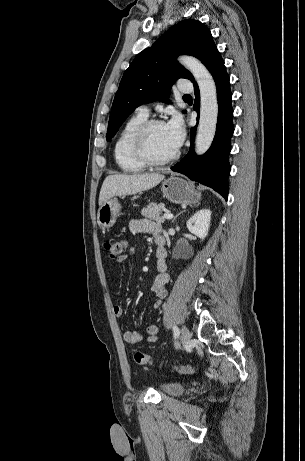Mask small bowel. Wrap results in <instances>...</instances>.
Listing matches in <instances>:
<instances>
[{"label": "small bowel", "instance_id": "1", "mask_svg": "<svg viewBox=\"0 0 305 461\" xmlns=\"http://www.w3.org/2000/svg\"><path fill=\"white\" fill-rule=\"evenodd\" d=\"M130 230L134 233H148L155 237L161 236V226L148 219H135L130 222ZM137 247L130 246L125 254L118 257L116 262L118 264H123L126 260L137 254ZM156 258H157V271L158 274L154 279V282L151 286V293L157 298L151 305L152 310H157L161 307L162 300L166 297L167 294V284L169 282V276L167 273V264H166V250L165 248L156 249ZM113 313L117 317L123 315V308L119 305L113 306ZM159 328L156 323H152L146 329V335L149 342H155L158 339ZM123 339L126 343L135 345L139 343L142 339V335L133 331H125L123 333Z\"/></svg>", "mask_w": 305, "mask_h": 461}]
</instances>
